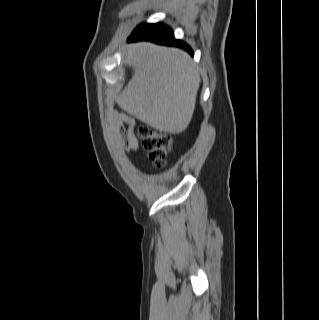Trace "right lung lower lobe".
<instances>
[{"instance_id": "obj_1", "label": "right lung lower lobe", "mask_w": 319, "mask_h": 320, "mask_svg": "<svg viewBox=\"0 0 319 320\" xmlns=\"http://www.w3.org/2000/svg\"><path fill=\"white\" fill-rule=\"evenodd\" d=\"M148 40L157 44H165L170 46H177L187 50L193 55L191 48L180 40L174 38L172 30L161 24H142L136 28V30L128 38L130 41Z\"/></svg>"}]
</instances>
